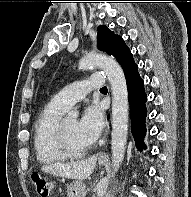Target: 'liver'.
I'll return each mask as SVG.
<instances>
[{
  "instance_id": "1",
  "label": "liver",
  "mask_w": 191,
  "mask_h": 197,
  "mask_svg": "<svg viewBox=\"0 0 191 197\" xmlns=\"http://www.w3.org/2000/svg\"><path fill=\"white\" fill-rule=\"evenodd\" d=\"M96 162L97 156H92L86 160L45 165L41 167V170L59 177L84 180L92 174Z\"/></svg>"
}]
</instances>
